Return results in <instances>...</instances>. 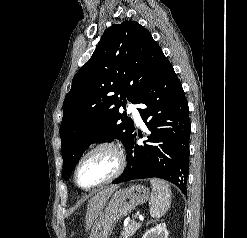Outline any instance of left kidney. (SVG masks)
Masks as SVG:
<instances>
[{
    "mask_svg": "<svg viewBox=\"0 0 247 238\" xmlns=\"http://www.w3.org/2000/svg\"><path fill=\"white\" fill-rule=\"evenodd\" d=\"M142 238H168L166 224L161 223L148 230Z\"/></svg>",
    "mask_w": 247,
    "mask_h": 238,
    "instance_id": "left-kidney-1",
    "label": "left kidney"
}]
</instances>
